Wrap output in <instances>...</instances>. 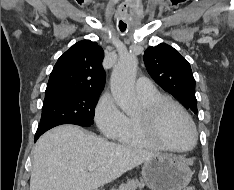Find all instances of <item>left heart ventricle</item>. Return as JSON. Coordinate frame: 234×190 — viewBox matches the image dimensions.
Segmentation results:
<instances>
[{
	"label": "left heart ventricle",
	"mask_w": 234,
	"mask_h": 190,
	"mask_svg": "<svg viewBox=\"0 0 234 190\" xmlns=\"http://www.w3.org/2000/svg\"><path fill=\"white\" fill-rule=\"evenodd\" d=\"M160 134L165 141L175 147L191 145L193 133L185 117L175 109H168L161 120Z\"/></svg>",
	"instance_id": "obj_1"
}]
</instances>
